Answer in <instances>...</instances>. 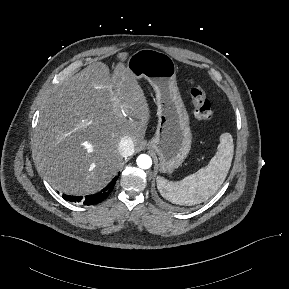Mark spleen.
<instances>
[{"instance_id": "1", "label": "spleen", "mask_w": 289, "mask_h": 289, "mask_svg": "<svg viewBox=\"0 0 289 289\" xmlns=\"http://www.w3.org/2000/svg\"><path fill=\"white\" fill-rule=\"evenodd\" d=\"M234 152L230 133L220 137V146L209 164L183 180L170 182L157 177V188L168 201L179 205L200 204L213 196L224 182L231 166Z\"/></svg>"}]
</instances>
